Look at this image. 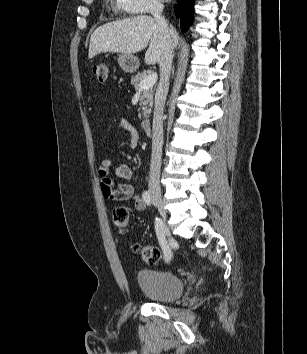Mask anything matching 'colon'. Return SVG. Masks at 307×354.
<instances>
[{"instance_id":"obj_1","label":"colon","mask_w":307,"mask_h":354,"mask_svg":"<svg viewBox=\"0 0 307 354\" xmlns=\"http://www.w3.org/2000/svg\"><path fill=\"white\" fill-rule=\"evenodd\" d=\"M93 72L100 82H104L109 73V65L105 62L96 63ZM129 214L125 207L119 206L113 210V226L119 233H125L128 229ZM133 250L144 261L154 264L160 259V251L151 245L135 244Z\"/></svg>"}]
</instances>
